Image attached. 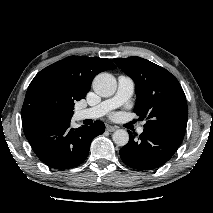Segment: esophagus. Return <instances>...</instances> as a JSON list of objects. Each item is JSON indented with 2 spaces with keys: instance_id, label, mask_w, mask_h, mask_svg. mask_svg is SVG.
<instances>
[{
  "instance_id": "34e87169",
  "label": "esophagus",
  "mask_w": 213,
  "mask_h": 213,
  "mask_svg": "<svg viewBox=\"0 0 213 213\" xmlns=\"http://www.w3.org/2000/svg\"><path fill=\"white\" fill-rule=\"evenodd\" d=\"M106 130L109 131V132H113V131L117 130V127L116 126L107 125L106 126Z\"/></svg>"
}]
</instances>
